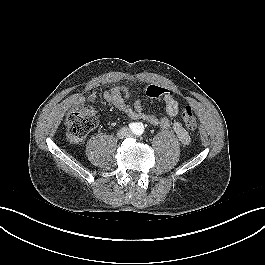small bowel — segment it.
<instances>
[{"mask_svg": "<svg viewBox=\"0 0 265 265\" xmlns=\"http://www.w3.org/2000/svg\"><path fill=\"white\" fill-rule=\"evenodd\" d=\"M105 100L111 103L116 109L134 120L147 122L151 125L158 126L163 129L172 128L178 139L183 144L190 142V135L182 123L177 119L180 110V104L175 98L172 91L166 89V93L162 96L165 103L166 115L157 116L147 113L143 110L142 103L139 100H133L131 93L126 86H115L112 89L105 91L103 94ZM97 94L91 93L88 97L78 96L77 103H84L85 101L95 102ZM131 102V104L128 103Z\"/></svg>", "mask_w": 265, "mask_h": 265, "instance_id": "small-bowel-1", "label": "small bowel"}]
</instances>
